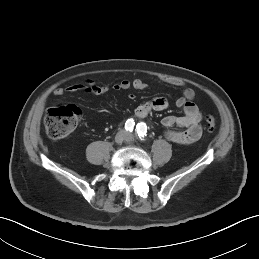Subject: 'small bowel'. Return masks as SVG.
I'll use <instances>...</instances> for the list:
<instances>
[{
  "mask_svg": "<svg viewBox=\"0 0 259 259\" xmlns=\"http://www.w3.org/2000/svg\"><path fill=\"white\" fill-rule=\"evenodd\" d=\"M163 82L182 88L180 97L176 100V106L183 110L182 116L169 115L162 119V124L168 128L165 137L168 141L177 145H188L197 142L202 136V114L194 102L195 91L186 86V83L178 78L161 77ZM145 90L147 84L139 79H123L113 86L114 91L129 89ZM109 91L105 85L97 84L92 80L77 83L65 88H57L54 93L64 96L82 92L87 95H104ZM169 107V101L164 97H156L139 104L135 109L137 118H144L152 112L163 111Z\"/></svg>",
  "mask_w": 259,
  "mask_h": 259,
  "instance_id": "1",
  "label": "small bowel"
}]
</instances>
